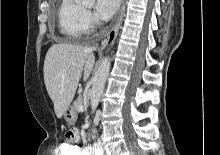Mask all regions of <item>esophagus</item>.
Here are the masks:
<instances>
[{
    "label": "esophagus",
    "instance_id": "1",
    "mask_svg": "<svg viewBox=\"0 0 220 155\" xmlns=\"http://www.w3.org/2000/svg\"><path fill=\"white\" fill-rule=\"evenodd\" d=\"M124 13H125V2L123 1L122 5H121V8H120L118 18H117V21H116L115 25L113 26V28L108 33L107 38L102 42L101 50L105 49L108 46H110L111 44H113V42H114V40L117 36V33L119 31V28L121 26Z\"/></svg>",
    "mask_w": 220,
    "mask_h": 155
}]
</instances>
